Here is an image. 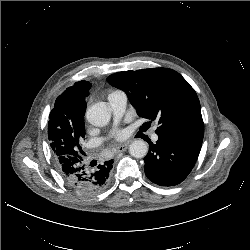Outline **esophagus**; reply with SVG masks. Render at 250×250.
<instances>
[{
	"instance_id": "34e87169",
	"label": "esophagus",
	"mask_w": 250,
	"mask_h": 250,
	"mask_svg": "<svg viewBox=\"0 0 250 250\" xmlns=\"http://www.w3.org/2000/svg\"><path fill=\"white\" fill-rule=\"evenodd\" d=\"M128 147H129V143H124V144L118 145L116 147V150L118 152H123V151L127 150Z\"/></svg>"
}]
</instances>
